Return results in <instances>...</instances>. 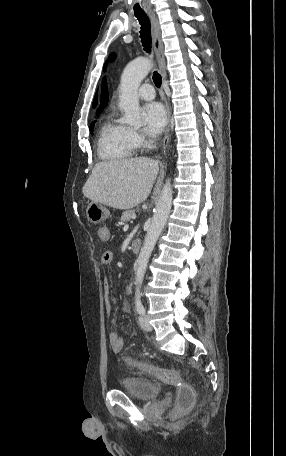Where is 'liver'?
I'll return each mask as SVG.
<instances>
[{
	"mask_svg": "<svg viewBox=\"0 0 286 456\" xmlns=\"http://www.w3.org/2000/svg\"><path fill=\"white\" fill-rule=\"evenodd\" d=\"M158 171V162L147 157L99 162L82 192L92 202L131 209L147 199Z\"/></svg>",
	"mask_w": 286,
	"mask_h": 456,
	"instance_id": "liver-1",
	"label": "liver"
}]
</instances>
